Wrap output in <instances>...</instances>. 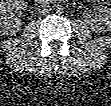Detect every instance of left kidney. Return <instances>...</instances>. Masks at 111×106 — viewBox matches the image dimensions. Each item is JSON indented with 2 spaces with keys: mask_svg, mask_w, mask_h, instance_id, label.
<instances>
[{
  "mask_svg": "<svg viewBox=\"0 0 111 106\" xmlns=\"http://www.w3.org/2000/svg\"><path fill=\"white\" fill-rule=\"evenodd\" d=\"M99 15H95L92 19V25L98 31H110L111 30V8L100 7Z\"/></svg>",
  "mask_w": 111,
  "mask_h": 106,
  "instance_id": "obj_1",
  "label": "left kidney"
}]
</instances>
